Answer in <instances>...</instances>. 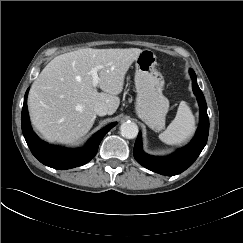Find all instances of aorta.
I'll use <instances>...</instances> for the list:
<instances>
[{
	"instance_id": "aorta-1",
	"label": "aorta",
	"mask_w": 243,
	"mask_h": 243,
	"mask_svg": "<svg viewBox=\"0 0 243 243\" xmlns=\"http://www.w3.org/2000/svg\"><path fill=\"white\" fill-rule=\"evenodd\" d=\"M121 135L127 139H133L138 135V126L132 121H126L120 126Z\"/></svg>"
}]
</instances>
